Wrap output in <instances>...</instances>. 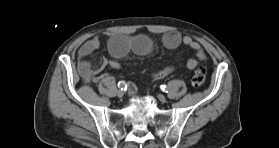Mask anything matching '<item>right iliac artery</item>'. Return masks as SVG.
Wrapping results in <instances>:
<instances>
[{"label":"right iliac artery","mask_w":279,"mask_h":148,"mask_svg":"<svg viewBox=\"0 0 279 148\" xmlns=\"http://www.w3.org/2000/svg\"><path fill=\"white\" fill-rule=\"evenodd\" d=\"M118 87L121 89V90H126L127 89V85L125 84V82L123 81H120L118 83Z\"/></svg>","instance_id":"1"}]
</instances>
